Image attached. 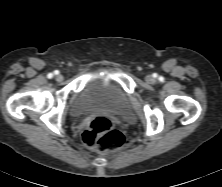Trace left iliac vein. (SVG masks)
I'll list each match as a JSON object with an SVG mask.
<instances>
[{"label":"left iliac vein","mask_w":222,"mask_h":187,"mask_svg":"<svg viewBox=\"0 0 222 187\" xmlns=\"http://www.w3.org/2000/svg\"><path fill=\"white\" fill-rule=\"evenodd\" d=\"M147 83H153L154 82V78L152 75H147L145 78Z\"/></svg>","instance_id":"obj_1"}]
</instances>
